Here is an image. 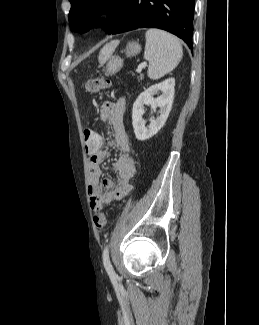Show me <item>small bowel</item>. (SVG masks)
<instances>
[{
  "mask_svg": "<svg viewBox=\"0 0 259 325\" xmlns=\"http://www.w3.org/2000/svg\"><path fill=\"white\" fill-rule=\"evenodd\" d=\"M126 103L124 99L106 101L100 108V119L113 131L111 145H116L122 154L116 159L114 169L117 178H104L101 180V162L107 156L103 149L104 139L100 149H86L89 158V184L88 197L92 209H98L127 196L132 191L131 179L136 173L135 160L131 155L130 142L124 125ZM98 135H100L98 133ZM101 186L104 191H101Z\"/></svg>",
  "mask_w": 259,
  "mask_h": 325,
  "instance_id": "small-bowel-1",
  "label": "small bowel"
}]
</instances>
